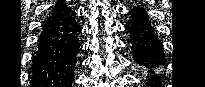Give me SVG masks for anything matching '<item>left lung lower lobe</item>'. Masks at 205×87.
<instances>
[{"label":"left lung lower lobe","instance_id":"obj_1","mask_svg":"<svg viewBox=\"0 0 205 87\" xmlns=\"http://www.w3.org/2000/svg\"><path fill=\"white\" fill-rule=\"evenodd\" d=\"M129 14L130 20L125 25V29L130 34L127 42L133 50V59L147 71V85L159 86L161 77L157 74V70L166 62L160 40L143 8L134 6Z\"/></svg>","mask_w":205,"mask_h":87}]
</instances>
